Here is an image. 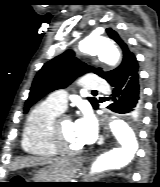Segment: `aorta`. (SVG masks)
Wrapping results in <instances>:
<instances>
[{
    "label": "aorta",
    "mask_w": 160,
    "mask_h": 187,
    "mask_svg": "<svg viewBox=\"0 0 160 187\" xmlns=\"http://www.w3.org/2000/svg\"><path fill=\"white\" fill-rule=\"evenodd\" d=\"M79 49L84 54L98 56L102 62L109 65H115L120 58L117 46L105 35L87 36L80 42ZM109 126L118 145L105 151L95 160L91 167L92 174L126 166L137 150V135L125 120L113 119Z\"/></svg>",
    "instance_id": "1"
}]
</instances>
